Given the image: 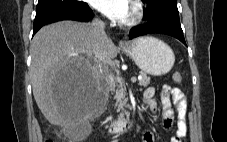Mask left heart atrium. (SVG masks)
I'll return each instance as SVG.
<instances>
[{
    "label": "left heart atrium",
    "mask_w": 227,
    "mask_h": 142,
    "mask_svg": "<svg viewBox=\"0 0 227 142\" xmlns=\"http://www.w3.org/2000/svg\"><path fill=\"white\" fill-rule=\"evenodd\" d=\"M91 4L114 21L124 22L127 20L131 0H90Z\"/></svg>",
    "instance_id": "1"
}]
</instances>
